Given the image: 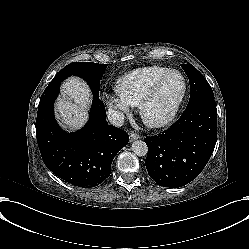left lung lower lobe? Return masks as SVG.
Wrapping results in <instances>:
<instances>
[{"mask_svg":"<svg viewBox=\"0 0 249 249\" xmlns=\"http://www.w3.org/2000/svg\"><path fill=\"white\" fill-rule=\"evenodd\" d=\"M217 139L214 99L187 105L181 117L158 136L146 137L145 160L149 176L159 186L181 187L203 170Z\"/></svg>","mask_w":249,"mask_h":249,"instance_id":"left-lung-lower-lobe-1","label":"left lung lower lobe"}]
</instances>
